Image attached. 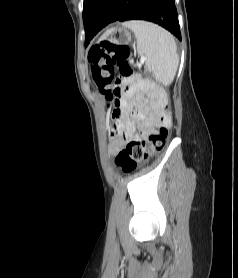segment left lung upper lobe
I'll use <instances>...</instances> for the list:
<instances>
[{
	"label": "left lung upper lobe",
	"instance_id": "left-lung-upper-lobe-1",
	"mask_svg": "<svg viewBox=\"0 0 238 278\" xmlns=\"http://www.w3.org/2000/svg\"><path fill=\"white\" fill-rule=\"evenodd\" d=\"M104 0H84L83 8V23L85 26V33L89 29L92 20Z\"/></svg>",
	"mask_w": 238,
	"mask_h": 278
}]
</instances>
